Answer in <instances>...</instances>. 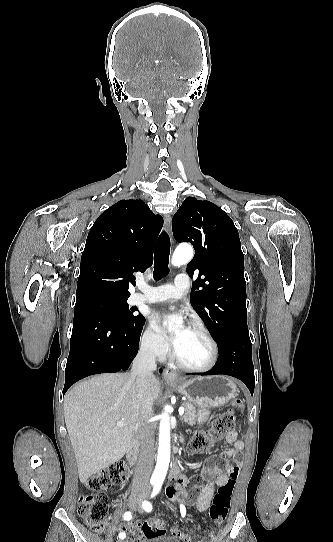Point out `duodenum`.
Listing matches in <instances>:
<instances>
[{
	"mask_svg": "<svg viewBox=\"0 0 333 542\" xmlns=\"http://www.w3.org/2000/svg\"><path fill=\"white\" fill-rule=\"evenodd\" d=\"M139 457V441L136 439L130 443L126 451V458L130 465L135 466ZM180 466L177 461H174L171 466V476L180 474Z\"/></svg>",
	"mask_w": 333,
	"mask_h": 542,
	"instance_id": "obj_1",
	"label": "duodenum"
}]
</instances>
